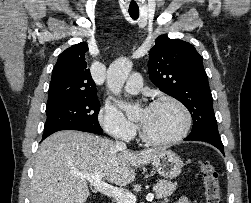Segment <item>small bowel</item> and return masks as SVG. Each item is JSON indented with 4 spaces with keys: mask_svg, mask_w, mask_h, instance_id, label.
I'll return each instance as SVG.
<instances>
[{
    "mask_svg": "<svg viewBox=\"0 0 251 203\" xmlns=\"http://www.w3.org/2000/svg\"><path fill=\"white\" fill-rule=\"evenodd\" d=\"M175 203H192V202L187 197H181Z\"/></svg>",
    "mask_w": 251,
    "mask_h": 203,
    "instance_id": "small-bowel-1",
    "label": "small bowel"
}]
</instances>
